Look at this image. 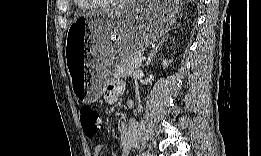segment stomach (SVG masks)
Returning <instances> with one entry per match:
<instances>
[{
	"label": "stomach",
	"mask_w": 261,
	"mask_h": 156,
	"mask_svg": "<svg viewBox=\"0 0 261 156\" xmlns=\"http://www.w3.org/2000/svg\"><path fill=\"white\" fill-rule=\"evenodd\" d=\"M177 3L128 2L80 17L70 26L65 48L72 90L82 103L100 98L111 70L161 39L174 22ZM89 42L92 58L76 60L74 47Z\"/></svg>",
	"instance_id": "obj_1"
}]
</instances>
